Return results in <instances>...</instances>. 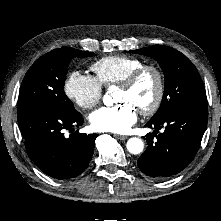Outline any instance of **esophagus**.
<instances>
[{
    "label": "esophagus",
    "instance_id": "obj_1",
    "mask_svg": "<svg viewBox=\"0 0 221 221\" xmlns=\"http://www.w3.org/2000/svg\"><path fill=\"white\" fill-rule=\"evenodd\" d=\"M117 139L126 140L128 137L124 135H114Z\"/></svg>",
    "mask_w": 221,
    "mask_h": 221
}]
</instances>
